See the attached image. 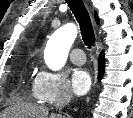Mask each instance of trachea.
Here are the masks:
<instances>
[{"mask_svg":"<svg viewBox=\"0 0 133 118\" xmlns=\"http://www.w3.org/2000/svg\"><path fill=\"white\" fill-rule=\"evenodd\" d=\"M68 6L79 23L82 39L88 48L95 44V35L87 9L82 0H67Z\"/></svg>","mask_w":133,"mask_h":118,"instance_id":"1","label":"trachea"}]
</instances>
